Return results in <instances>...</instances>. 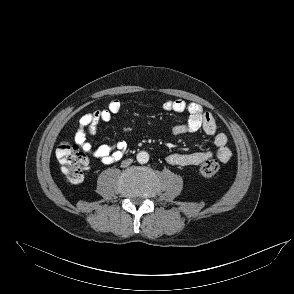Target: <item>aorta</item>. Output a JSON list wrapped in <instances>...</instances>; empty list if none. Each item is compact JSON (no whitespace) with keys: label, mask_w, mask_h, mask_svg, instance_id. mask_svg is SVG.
I'll list each match as a JSON object with an SVG mask.
<instances>
[{"label":"aorta","mask_w":294,"mask_h":294,"mask_svg":"<svg viewBox=\"0 0 294 294\" xmlns=\"http://www.w3.org/2000/svg\"><path fill=\"white\" fill-rule=\"evenodd\" d=\"M137 161L140 163V164H145L149 161V154L148 152L146 151H140L137 156Z\"/></svg>","instance_id":"1"}]
</instances>
